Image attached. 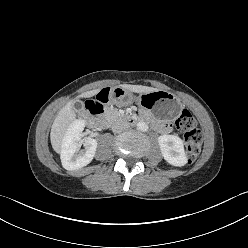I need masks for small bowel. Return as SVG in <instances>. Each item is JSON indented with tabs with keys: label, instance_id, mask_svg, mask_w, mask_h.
Here are the masks:
<instances>
[{
	"label": "small bowel",
	"instance_id": "c3829d8e",
	"mask_svg": "<svg viewBox=\"0 0 248 248\" xmlns=\"http://www.w3.org/2000/svg\"><path fill=\"white\" fill-rule=\"evenodd\" d=\"M161 133H169L171 131V125L166 122H158L157 127L155 128Z\"/></svg>",
	"mask_w": 248,
	"mask_h": 248
}]
</instances>
